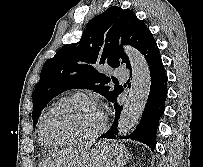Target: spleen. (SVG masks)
I'll return each mask as SVG.
<instances>
[{
  "mask_svg": "<svg viewBox=\"0 0 203 167\" xmlns=\"http://www.w3.org/2000/svg\"><path fill=\"white\" fill-rule=\"evenodd\" d=\"M121 149H123V148H121ZM120 163H121V165H123L126 163V160H120Z\"/></svg>",
  "mask_w": 203,
  "mask_h": 167,
  "instance_id": "1",
  "label": "spleen"
}]
</instances>
